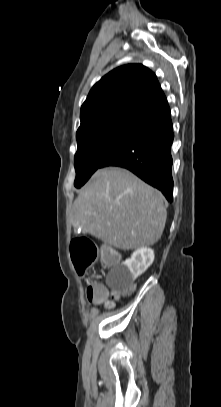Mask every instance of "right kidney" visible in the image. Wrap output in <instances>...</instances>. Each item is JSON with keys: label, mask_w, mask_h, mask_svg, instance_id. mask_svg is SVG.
<instances>
[{"label": "right kidney", "mask_w": 221, "mask_h": 407, "mask_svg": "<svg viewBox=\"0 0 221 407\" xmlns=\"http://www.w3.org/2000/svg\"><path fill=\"white\" fill-rule=\"evenodd\" d=\"M154 261V251L142 247L133 252L131 257L122 263L124 268L123 281L126 284L133 283L138 276L143 274Z\"/></svg>", "instance_id": "1"}]
</instances>
